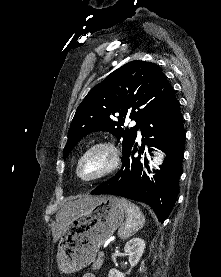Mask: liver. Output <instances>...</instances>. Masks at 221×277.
<instances>
[{
	"mask_svg": "<svg viewBox=\"0 0 221 277\" xmlns=\"http://www.w3.org/2000/svg\"><path fill=\"white\" fill-rule=\"evenodd\" d=\"M100 197L86 196L75 201L66 203L56 214V230L53 234V241L56 242L65 232L70 220L82 209L93 205Z\"/></svg>",
	"mask_w": 221,
	"mask_h": 277,
	"instance_id": "6515ba94",
	"label": "liver"
}]
</instances>
